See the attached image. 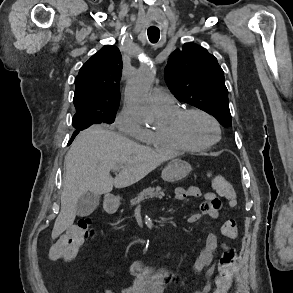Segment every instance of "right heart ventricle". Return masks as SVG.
Here are the masks:
<instances>
[{
  "mask_svg": "<svg viewBox=\"0 0 293 293\" xmlns=\"http://www.w3.org/2000/svg\"><path fill=\"white\" fill-rule=\"evenodd\" d=\"M166 120L163 128L155 131H150L149 136L144 140L148 146L169 152H184L189 151L188 147L180 143L168 130V122L180 110L175 104L172 107L159 109Z\"/></svg>",
  "mask_w": 293,
  "mask_h": 293,
  "instance_id": "1",
  "label": "right heart ventricle"
}]
</instances>
